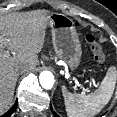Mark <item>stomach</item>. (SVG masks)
Masks as SVG:
<instances>
[{"label":"stomach","instance_id":"stomach-1","mask_svg":"<svg viewBox=\"0 0 117 117\" xmlns=\"http://www.w3.org/2000/svg\"><path fill=\"white\" fill-rule=\"evenodd\" d=\"M47 24L57 57L71 69L78 67L82 50L73 20L64 14L50 13Z\"/></svg>","mask_w":117,"mask_h":117}]
</instances>
